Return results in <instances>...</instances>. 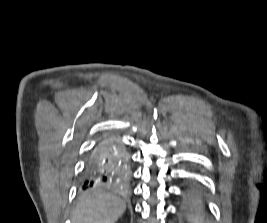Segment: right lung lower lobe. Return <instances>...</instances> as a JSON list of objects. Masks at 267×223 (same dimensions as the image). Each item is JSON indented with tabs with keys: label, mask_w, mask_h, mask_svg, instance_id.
<instances>
[{
	"label": "right lung lower lobe",
	"mask_w": 267,
	"mask_h": 223,
	"mask_svg": "<svg viewBox=\"0 0 267 223\" xmlns=\"http://www.w3.org/2000/svg\"><path fill=\"white\" fill-rule=\"evenodd\" d=\"M130 179V163L124 146L115 138L102 139L90 154L82 189L110 186L124 189Z\"/></svg>",
	"instance_id": "98d812e1"
}]
</instances>
